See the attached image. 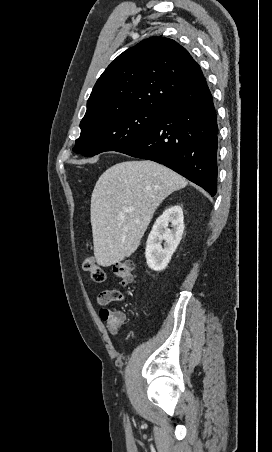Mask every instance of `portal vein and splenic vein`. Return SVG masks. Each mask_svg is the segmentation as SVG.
<instances>
[{"instance_id":"18ae733b","label":"portal vein and splenic vein","mask_w":272,"mask_h":452,"mask_svg":"<svg viewBox=\"0 0 272 452\" xmlns=\"http://www.w3.org/2000/svg\"><path fill=\"white\" fill-rule=\"evenodd\" d=\"M132 209L130 208V209H127V211H131Z\"/></svg>"}]
</instances>
